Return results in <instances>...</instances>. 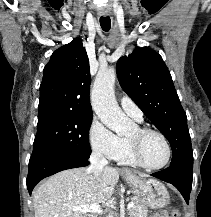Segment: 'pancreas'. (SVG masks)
Here are the masks:
<instances>
[{"label": "pancreas", "mask_w": 211, "mask_h": 217, "mask_svg": "<svg viewBox=\"0 0 211 217\" xmlns=\"http://www.w3.org/2000/svg\"><path fill=\"white\" fill-rule=\"evenodd\" d=\"M134 206L129 210L130 217H147L148 205L144 198L133 197Z\"/></svg>", "instance_id": "1"}]
</instances>
